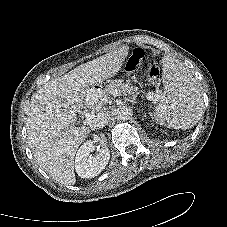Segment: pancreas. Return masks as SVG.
<instances>
[{
	"mask_svg": "<svg viewBox=\"0 0 227 227\" xmlns=\"http://www.w3.org/2000/svg\"><path fill=\"white\" fill-rule=\"evenodd\" d=\"M117 90L120 95H133L137 96L139 94L138 88L131 86L129 82L125 83L123 80H111L109 84L105 87L103 91L90 90L88 93L94 94L98 101L103 94H112L114 90ZM97 101V102H98Z\"/></svg>",
	"mask_w": 227,
	"mask_h": 227,
	"instance_id": "1",
	"label": "pancreas"
}]
</instances>
